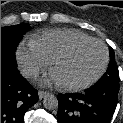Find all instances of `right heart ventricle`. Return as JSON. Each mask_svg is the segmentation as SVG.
I'll return each instance as SVG.
<instances>
[{"mask_svg": "<svg viewBox=\"0 0 123 123\" xmlns=\"http://www.w3.org/2000/svg\"><path fill=\"white\" fill-rule=\"evenodd\" d=\"M92 38L76 29L54 28L33 36L29 44L41 52L49 61L70 44Z\"/></svg>", "mask_w": 123, "mask_h": 123, "instance_id": "1", "label": "right heart ventricle"}]
</instances>
